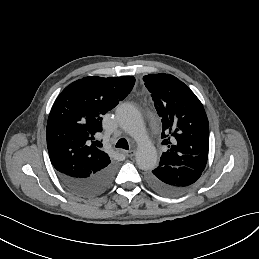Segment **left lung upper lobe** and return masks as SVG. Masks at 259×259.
<instances>
[{"label":"left lung upper lobe","mask_w":259,"mask_h":259,"mask_svg":"<svg viewBox=\"0 0 259 259\" xmlns=\"http://www.w3.org/2000/svg\"><path fill=\"white\" fill-rule=\"evenodd\" d=\"M162 122L159 166H184L203 172L209 151V123L202 103L182 81L160 73L143 77Z\"/></svg>","instance_id":"obj_1"}]
</instances>
